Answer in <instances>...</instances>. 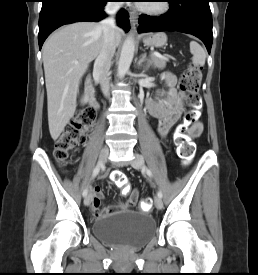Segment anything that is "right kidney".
<instances>
[{"instance_id":"1","label":"right kidney","mask_w":258,"mask_h":275,"mask_svg":"<svg viewBox=\"0 0 258 275\" xmlns=\"http://www.w3.org/2000/svg\"><path fill=\"white\" fill-rule=\"evenodd\" d=\"M86 100H87V98H86V97H84V98H83V100H82V103H85V102H86Z\"/></svg>"}]
</instances>
